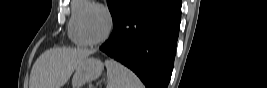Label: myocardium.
<instances>
[{
    "instance_id": "f54148a6",
    "label": "myocardium",
    "mask_w": 267,
    "mask_h": 88,
    "mask_svg": "<svg viewBox=\"0 0 267 88\" xmlns=\"http://www.w3.org/2000/svg\"><path fill=\"white\" fill-rule=\"evenodd\" d=\"M91 9H98V10L102 11L104 13V15L106 17V21H107V27H106L105 34L97 41H91L88 39V37L85 34L84 26H83V21L87 15V13ZM112 28H113V17H112L110 10L106 6L99 4V3H94L90 8L86 9L81 14L79 21H78L79 34H80L81 38L83 39V41L86 43V45L96 46V45L102 44L103 42L106 41V39L111 34Z\"/></svg>"
}]
</instances>
